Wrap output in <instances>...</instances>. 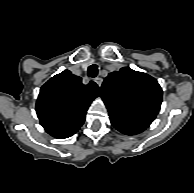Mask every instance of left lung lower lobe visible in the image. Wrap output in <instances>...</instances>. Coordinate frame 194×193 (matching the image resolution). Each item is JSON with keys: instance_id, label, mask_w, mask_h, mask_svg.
Wrapping results in <instances>:
<instances>
[{"instance_id": "1", "label": "left lung lower lobe", "mask_w": 194, "mask_h": 193, "mask_svg": "<svg viewBox=\"0 0 194 193\" xmlns=\"http://www.w3.org/2000/svg\"><path fill=\"white\" fill-rule=\"evenodd\" d=\"M110 121L118 131L126 135L139 134L146 129L143 126H140L125 120H121L119 118L112 117V116H110Z\"/></svg>"}]
</instances>
